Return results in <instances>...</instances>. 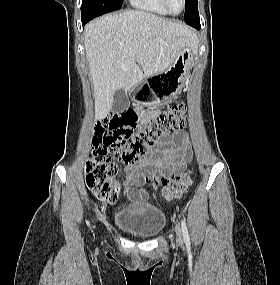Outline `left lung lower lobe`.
<instances>
[{"label": "left lung lower lobe", "instance_id": "1", "mask_svg": "<svg viewBox=\"0 0 280 285\" xmlns=\"http://www.w3.org/2000/svg\"><path fill=\"white\" fill-rule=\"evenodd\" d=\"M192 26L195 27L196 29L200 28V24H198V25L193 24Z\"/></svg>", "mask_w": 280, "mask_h": 285}]
</instances>
